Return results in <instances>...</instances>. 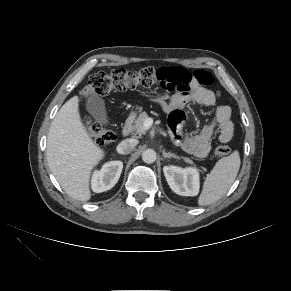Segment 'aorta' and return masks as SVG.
<instances>
[{
    "label": "aorta",
    "mask_w": 291,
    "mask_h": 291,
    "mask_svg": "<svg viewBox=\"0 0 291 291\" xmlns=\"http://www.w3.org/2000/svg\"><path fill=\"white\" fill-rule=\"evenodd\" d=\"M142 160L148 164L155 162L156 161V152L153 149L144 150L142 153Z\"/></svg>",
    "instance_id": "1"
}]
</instances>
